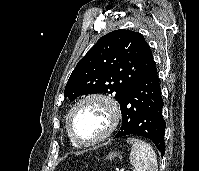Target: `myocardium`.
Here are the masks:
<instances>
[{
  "instance_id": "f54148a6",
  "label": "myocardium",
  "mask_w": 199,
  "mask_h": 171,
  "mask_svg": "<svg viewBox=\"0 0 199 171\" xmlns=\"http://www.w3.org/2000/svg\"><path fill=\"white\" fill-rule=\"evenodd\" d=\"M87 102L100 103L108 111L110 122H109L108 128L101 136L90 141H82L78 139L77 136L75 135L72 128L71 119L76 109L82 104L87 103ZM120 119H121L120 106L113 97L108 96L106 94H102V93H89L77 99L71 106L66 116V128H67V132L70 139L77 146L88 147V146L98 144L102 142L103 140L107 139L116 130L120 122Z\"/></svg>"
}]
</instances>
